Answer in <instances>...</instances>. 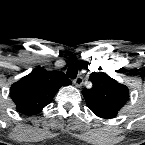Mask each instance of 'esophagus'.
I'll return each mask as SVG.
<instances>
[{"mask_svg": "<svg viewBox=\"0 0 145 145\" xmlns=\"http://www.w3.org/2000/svg\"><path fill=\"white\" fill-rule=\"evenodd\" d=\"M73 83L76 87H80L83 84V78L81 76H78L73 80Z\"/></svg>", "mask_w": 145, "mask_h": 145, "instance_id": "1", "label": "esophagus"}]
</instances>
